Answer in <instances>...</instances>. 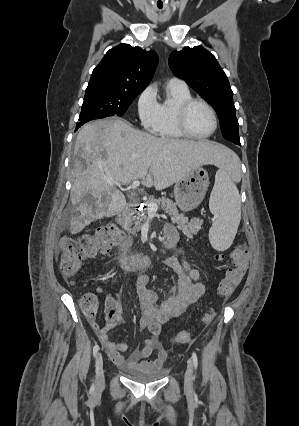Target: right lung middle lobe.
I'll return each instance as SVG.
<instances>
[{
	"label": "right lung middle lobe",
	"mask_w": 299,
	"mask_h": 426,
	"mask_svg": "<svg viewBox=\"0 0 299 426\" xmlns=\"http://www.w3.org/2000/svg\"><path fill=\"white\" fill-rule=\"evenodd\" d=\"M141 92L105 85H88L79 120L92 116H122Z\"/></svg>",
	"instance_id": "1"
}]
</instances>
